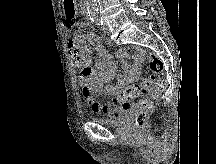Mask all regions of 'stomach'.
<instances>
[{
	"instance_id": "obj_1",
	"label": "stomach",
	"mask_w": 216,
	"mask_h": 164,
	"mask_svg": "<svg viewBox=\"0 0 216 164\" xmlns=\"http://www.w3.org/2000/svg\"><path fill=\"white\" fill-rule=\"evenodd\" d=\"M62 3H65L64 12L65 20H78V8L77 4L74 3V0H62Z\"/></svg>"
}]
</instances>
